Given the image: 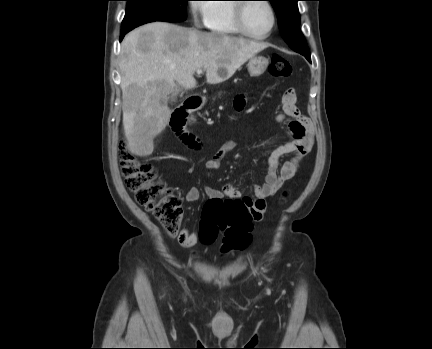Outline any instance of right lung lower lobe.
Returning a JSON list of instances; mask_svg holds the SVG:
<instances>
[{
    "mask_svg": "<svg viewBox=\"0 0 432 349\" xmlns=\"http://www.w3.org/2000/svg\"><path fill=\"white\" fill-rule=\"evenodd\" d=\"M127 32H128V31H122V32H121L120 41L124 38V36H125V34H126Z\"/></svg>",
    "mask_w": 432,
    "mask_h": 349,
    "instance_id": "98d812e1",
    "label": "right lung lower lobe"
}]
</instances>
